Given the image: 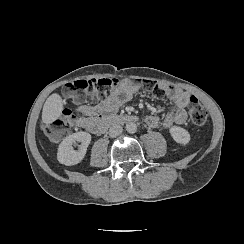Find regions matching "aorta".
Listing matches in <instances>:
<instances>
[{
  "mask_svg": "<svg viewBox=\"0 0 244 244\" xmlns=\"http://www.w3.org/2000/svg\"><path fill=\"white\" fill-rule=\"evenodd\" d=\"M126 131L130 134H133L137 131V125L134 122H129L125 126Z\"/></svg>",
  "mask_w": 244,
  "mask_h": 244,
  "instance_id": "762f6f07",
  "label": "aorta"
}]
</instances>
